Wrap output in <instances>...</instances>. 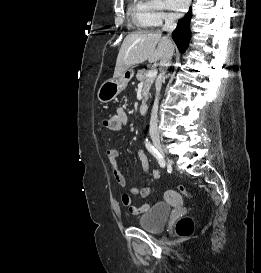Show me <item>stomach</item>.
Listing matches in <instances>:
<instances>
[{
	"mask_svg": "<svg viewBox=\"0 0 261 273\" xmlns=\"http://www.w3.org/2000/svg\"><path fill=\"white\" fill-rule=\"evenodd\" d=\"M133 70L128 69L117 78L108 79L102 83L97 92V99L102 103L112 101L121 91L125 89L133 77Z\"/></svg>",
	"mask_w": 261,
	"mask_h": 273,
	"instance_id": "0dacf381",
	"label": "stomach"
}]
</instances>
